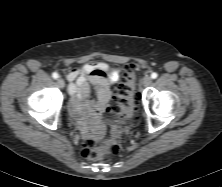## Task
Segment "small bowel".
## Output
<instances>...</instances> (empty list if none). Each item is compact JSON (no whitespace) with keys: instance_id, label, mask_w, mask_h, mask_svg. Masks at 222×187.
I'll use <instances>...</instances> for the list:
<instances>
[{"instance_id":"small-bowel-1","label":"small bowel","mask_w":222,"mask_h":187,"mask_svg":"<svg viewBox=\"0 0 222 187\" xmlns=\"http://www.w3.org/2000/svg\"><path fill=\"white\" fill-rule=\"evenodd\" d=\"M121 70L107 63L97 62L73 68L67 75L71 107L75 118H82L86 112L94 115L104 111L110 100V87L119 82ZM96 89V99L92 100V88Z\"/></svg>"}]
</instances>
